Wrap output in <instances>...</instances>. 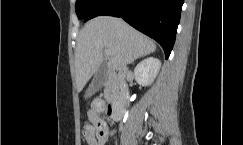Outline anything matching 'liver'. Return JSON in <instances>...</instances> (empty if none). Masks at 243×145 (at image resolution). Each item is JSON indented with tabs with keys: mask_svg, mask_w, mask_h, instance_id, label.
<instances>
[{
	"mask_svg": "<svg viewBox=\"0 0 243 145\" xmlns=\"http://www.w3.org/2000/svg\"><path fill=\"white\" fill-rule=\"evenodd\" d=\"M156 50L155 43L126 22L109 16H98L85 24L75 49L76 87L80 92L109 51L108 66L125 67L139 57Z\"/></svg>",
	"mask_w": 243,
	"mask_h": 145,
	"instance_id": "liver-1",
	"label": "liver"
}]
</instances>
